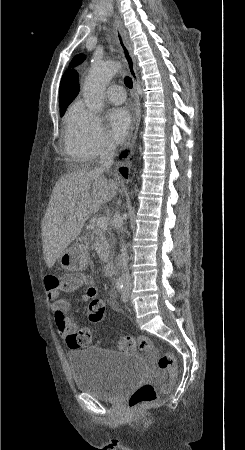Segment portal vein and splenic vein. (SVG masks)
<instances>
[{
	"instance_id": "18ae733b",
	"label": "portal vein and splenic vein",
	"mask_w": 245,
	"mask_h": 450,
	"mask_svg": "<svg viewBox=\"0 0 245 450\" xmlns=\"http://www.w3.org/2000/svg\"><path fill=\"white\" fill-rule=\"evenodd\" d=\"M96 226L99 229H106L108 226V221L105 217H99L98 220L96 221Z\"/></svg>"
}]
</instances>
